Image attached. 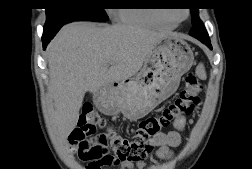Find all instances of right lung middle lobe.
I'll return each instance as SVG.
<instances>
[{"mask_svg":"<svg viewBox=\"0 0 252 169\" xmlns=\"http://www.w3.org/2000/svg\"><path fill=\"white\" fill-rule=\"evenodd\" d=\"M44 30H51L73 21L109 20L104 0H47Z\"/></svg>","mask_w":252,"mask_h":169,"instance_id":"dd1d6c3e","label":"right lung middle lobe"}]
</instances>
